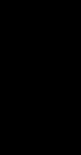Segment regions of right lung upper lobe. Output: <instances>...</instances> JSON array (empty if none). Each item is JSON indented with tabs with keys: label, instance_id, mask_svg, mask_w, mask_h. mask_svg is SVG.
<instances>
[{
	"label": "right lung upper lobe",
	"instance_id": "cb5924a9",
	"mask_svg": "<svg viewBox=\"0 0 81 155\" xmlns=\"http://www.w3.org/2000/svg\"><path fill=\"white\" fill-rule=\"evenodd\" d=\"M36 47L10 42L0 49V113L4 121L23 112L34 99L26 66Z\"/></svg>",
	"mask_w": 81,
	"mask_h": 155
}]
</instances>
